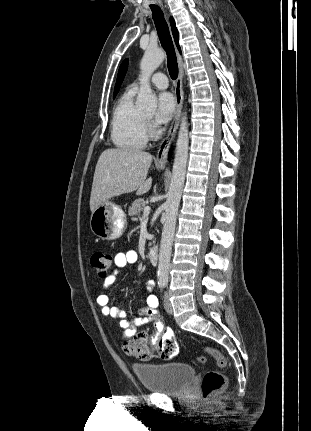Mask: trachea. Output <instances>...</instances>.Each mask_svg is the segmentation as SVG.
I'll list each match as a JSON object with an SVG mask.
<instances>
[{
  "label": "trachea",
  "instance_id": "3493384b",
  "mask_svg": "<svg viewBox=\"0 0 311 431\" xmlns=\"http://www.w3.org/2000/svg\"><path fill=\"white\" fill-rule=\"evenodd\" d=\"M151 10H152V16L158 33L159 40L167 54V65H168L169 75L172 78V80H175L178 77V64H177L172 38L169 32V27L167 25V22L164 19V15L160 7L158 6L151 7Z\"/></svg>",
  "mask_w": 311,
  "mask_h": 431
}]
</instances>
